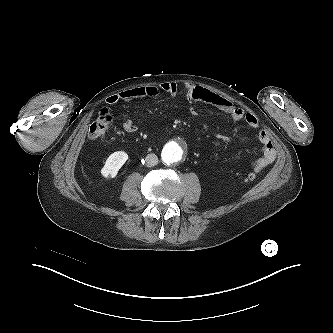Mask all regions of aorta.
I'll return each mask as SVG.
<instances>
[{"mask_svg": "<svg viewBox=\"0 0 333 333\" xmlns=\"http://www.w3.org/2000/svg\"><path fill=\"white\" fill-rule=\"evenodd\" d=\"M184 148L181 144L175 143L174 146L165 145L162 150V160L166 164H174L182 159Z\"/></svg>", "mask_w": 333, "mask_h": 333, "instance_id": "obj_1", "label": "aorta"}]
</instances>
